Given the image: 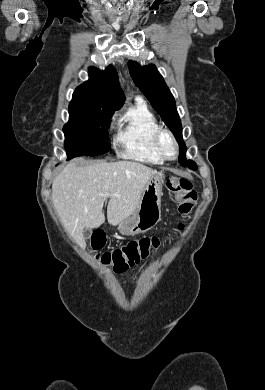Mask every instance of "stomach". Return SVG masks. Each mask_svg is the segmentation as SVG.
Wrapping results in <instances>:
<instances>
[{
    "label": "stomach",
    "mask_w": 265,
    "mask_h": 390,
    "mask_svg": "<svg viewBox=\"0 0 265 390\" xmlns=\"http://www.w3.org/2000/svg\"><path fill=\"white\" fill-rule=\"evenodd\" d=\"M163 178L152 176L147 182L135 212L118 224L123 235H136L152 229L161 219Z\"/></svg>",
    "instance_id": "1"
}]
</instances>
